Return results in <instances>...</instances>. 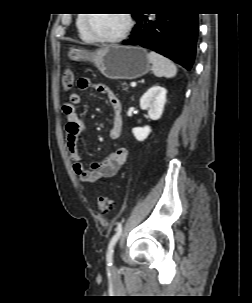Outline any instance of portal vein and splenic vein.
I'll list each match as a JSON object with an SVG mask.
<instances>
[{
  "label": "portal vein and splenic vein",
  "instance_id": "obj_1",
  "mask_svg": "<svg viewBox=\"0 0 252 303\" xmlns=\"http://www.w3.org/2000/svg\"><path fill=\"white\" fill-rule=\"evenodd\" d=\"M131 87H136V82H132Z\"/></svg>",
  "mask_w": 252,
  "mask_h": 303
}]
</instances>
